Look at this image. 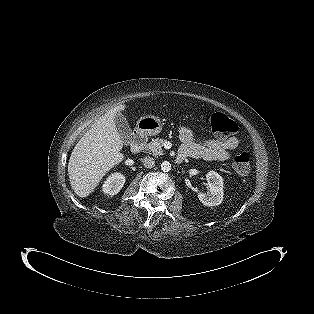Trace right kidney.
Segmentation results:
<instances>
[{
  "label": "right kidney",
  "mask_w": 314,
  "mask_h": 314,
  "mask_svg": "<svg viewBox=\"0 0 314 314\" xmlns=\"http://www.w3.org/2000/svg\"><path fill=\"white\" fill-rule=\"evenodd\" d=\"M125 183V177L121 173H114L107 178L102 186L105 194L111 196L117 194Z\"/></svg>",
  "instance_id": "ca27d5eb"
}]
</instances>
